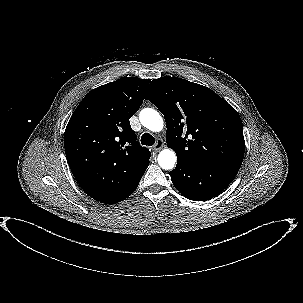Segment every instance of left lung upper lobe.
I'll use <instances>...</instances> for the list:
<instances>
[{
  "label": "left lung upper lobe",
  "instance_id": "obj_1",
  "mask_svg": "<svg viewBox=\"0 0 303 303\" xmlns=\"http://www.w3.org/2000/svg\"><path fill=\"white\" fill-rule=\"evenodd\" d=\"M146 99L164 115L166 142L178 160L240 168L245 151L240 116L214 91L165 76L152 80Z\"/></svg>",
  "mask_w": 303,
  "mask_h": 303
}]
</instances>
